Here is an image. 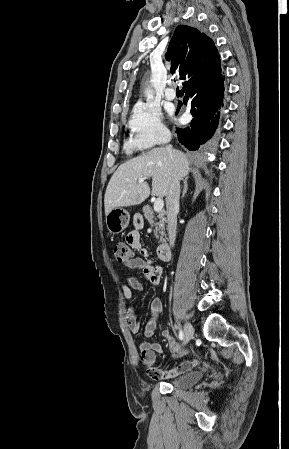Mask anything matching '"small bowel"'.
I'll return each mask as SVG.
<instances>
[{"instance_id":"obj_1","label":"small bowel","mask_w":289,"mask_h":449,"mask_svg":"<svg viewBox=\"0 0 289 449\" xmlns=\"http://www.w3.org/2000/svg\"><path fill=\"white\" fill-rule=\"evenodd\" d=\"M134 229L131 230L126 236V243L133 249L142 253V257H134L125 266L130 270H141L144 275V281L135 276H130L125 279L122 285V291L124 298L129 303L132 299V290L142 291L147 283L152 286H157L163 274L162 267L155 265L149 258L147 250L142 247L140 240V229L142 228L143 221L140 217H135L133 220ZM163 311V304L160 298L152 299L150 303V318L144 327V336L151 338L157 328L158 318ZM127 322L129 329L133 333H137L140 330V323L137 320L134 309L129 306L127 308ZM162 335L167 341L168 347L171 351L179 352L180 347L172 338L167 330H163ZM139 351L142 364L147 368V372L150 377L154 379L171 378L190 371L192 368L201 364L197 359L185 360L181 362L177 367L169 370L162 371L153 367L156 361L157 354H164L163 347L159 343H153L149 341H142L139 344Z\"/></svg>"}]
</instances>
